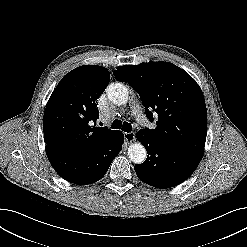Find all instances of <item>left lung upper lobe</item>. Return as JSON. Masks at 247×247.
Returning a JSON list of instances; mask_svg holds the SVG:
<instances>
[{"mask_svg":"<svg viewBox=\"0 0 247 247\" xmlns=\"http://www.w3.org/2000/svg\"><path fill=\"white\" fill-rule=\"evenodd\" d=\"M140 95L155 129L139 132L162 145L203 154L207 111L201 88L183 69L168 62L125 65L113 72ZM155 114V115H153Z\"/></svg>","mask_w":247,"mask_h":247,"instance_id":"obj_1","label":"left lung upper lobe"}]
</instances>
